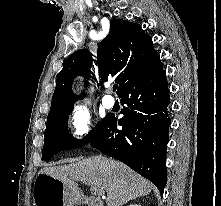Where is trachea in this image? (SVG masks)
I'll use <instances>...</instances> for the list:
<instances>
[{
    "label": "trachea",
    "instance_id": "obj_1",
    "mask_svg": "<svg viewBox=\"0 0 221 206\" xmlns=\"http://www.w3.org/2000/svg\"><path fill=\"white\" fill-rule=\"evenodd\" d=\"M116 89H117V84H114L113 85V91H116Z\"/></svg>",
    "mask_w": 221,
    "mask_h": 206
}]
</instances>
